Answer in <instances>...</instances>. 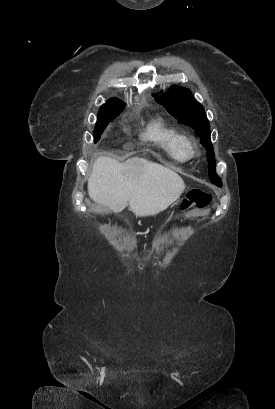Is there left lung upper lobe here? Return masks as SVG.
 <instances>
[{"label":"left lung upper lobe","instance_id":"1","mask_svg":"<svg viewBox=\"0 0 275 409\" xmlns=\"http://www.w3.org/2000/svg\"><path fill=\"white\" fill-rule=\"evenodd\" d=\"M155 100L180 123L196 130L201 138V144L206 148L210 181L221 187L222 181L215 170V154L210 140L209 121L203 106L195 100L190 90L175 86H172L165 95L155 96Z\"/></svg>","mask_w":275,"mask_h":409}]
</instances>
